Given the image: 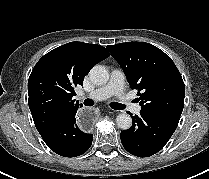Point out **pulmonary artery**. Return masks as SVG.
Listing matches in <instances>:
<instances>
[{"instance_id": "e3ab8cb5", "label": "pulmonary artery", "mask_w": 209, "mask_h": 179, "mask_svg": "<svg viewBox=\"0 0 209 179\" xmlns=\"http://www.w3.org/2000/svg\"><path fill=\"white\" fill-rule=\"evenodd\" d=\"M125 76L122 70L114 69L111 72L108 83L94 91L82 94L83 97H87L96 101L105 100L113 95L118 97L121 104L125 105L131 112L139 114L141 106L133 104L129 101L124 93Z\"/></svg>"}]
</instances>
